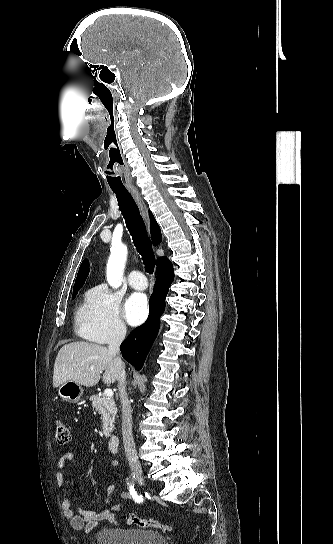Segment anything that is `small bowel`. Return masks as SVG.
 <instances>
[{"label": "small bowel", "mask_w": 333, "mask_h": 544, "mask_svg": "<svg viewBox=\"0 0 333 544\" xmlns=\"http://www.w3.org/2000/svg\"><path fill=\"white\" fill-rule=\"evenodd\" d=\"M74 456L70 452L63 453L57 462L56 481L61 490V506L64 516L69 520L72 528L75 530L91 531L98 527L100 523L107 522L110 524L118 523V512L122 508V504H111L110 495L115 491L117 482L112 483L107 488V507L103 511L84 509L83 507L73 504L65 490L64 472L68 463L72 462ZM111 468H118L119 461L111 459L109 461ZM120 496L123 500H130L131 494L127 491H121Z\"/></svg>", "instance_id": "small-bowel-1"}]
</instances>
